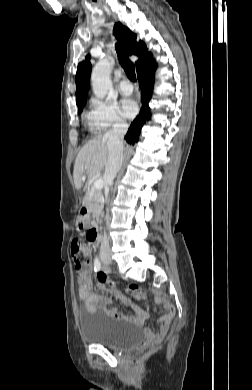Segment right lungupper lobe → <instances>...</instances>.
Segmentation results:
<instances>
[{"instance_id":"cb5924a9","label":"right lung upper lobe","mask_w":252,"mask_h":390,"mask_svg":"<svg viewBox=\"0 0 252 390\" xmlns=\"http://www.w3.org/2000/svg\"><path fill=\"white\" fill-rule=\"evenodd\" d=\"M114 35L125 46L130 55H137L139 60L136 62L137 74L143 69L155 65L152 62L151 54L147 52L144 42L136 41V34L132 33L127 27L121 23L114 25ZM90 56H86V60L79 63L75 77L76 82V103L78 108H82L86 102L88 94L89 80L91 74Z\"/></svg>"}]
</instances>
